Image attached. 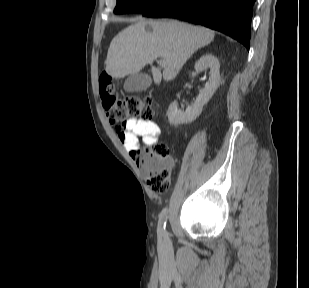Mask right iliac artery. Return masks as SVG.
Segmentation results:
<instances>
[{"instance_id": "right-iliac-artery-1", "label": "right iliac artery", "mask_w": 309, "mask_h": 288, "mask_svg": "<svg viewBox=\"0 0 309 288\" xmlns=\"http://www.w3.org/2000/svg\"><path fill=\"white\" fill-rule=\"evenodd\" d=\"M166 212H167V209L164 208L160 215H159V226H158V232L160 234H165L166 231H165V226H166Z\"/></svg>"}]
</instances>
